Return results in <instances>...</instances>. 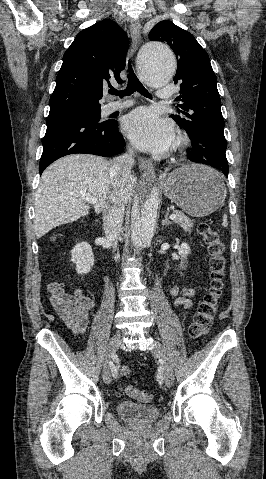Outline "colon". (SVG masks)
<instances>
[{
	"instance_id": "5ec220e1",
	"label": "colon",
	"mask_w": 266,
	"mask_h": 479,
	"mask_svg": "<svg viewBox=\"0 0 266 479\" xmlns=\"http://www.w3.org/2000/svg\"><path fill=\"white\" fill-rule=\"evenodd\" d=\"M197 231L209 254L210 284L189 327V335L193 339L202 338L211 326L223 296L226 278L225 244L219 233L206 222L199 223ZM120 375L128 377L130 368L123 366L120 369ZM125 390L140 402L147 403L152 400V394L147 391L138 390L132 386H127Z\"/></svg>"
}]
</instances>
